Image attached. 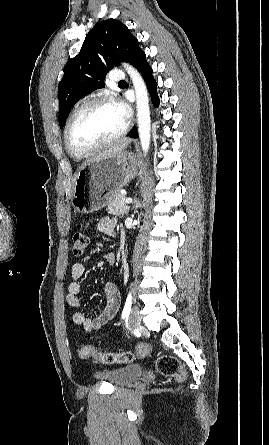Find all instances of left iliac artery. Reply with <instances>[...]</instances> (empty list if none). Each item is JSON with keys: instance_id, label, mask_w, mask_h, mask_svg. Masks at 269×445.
Wrapping results in <instances>:
<instances>
[{"instance_id": "obj_1", "label": "left iliac artery", "mask_w": 269, "mask_h": 445, "mask_svg": "<svg viewBox=\"0 0 269 445\" xmlns=\"http://www.w3.org/2000/svg\"><path fill=\"white\" fill-rule=\"evenodd\" d=\"M131 305H132V295L131 292H129L123 311H122V319L127 318L130 314V310H131Z\"/></svg>"}]
</instances>
